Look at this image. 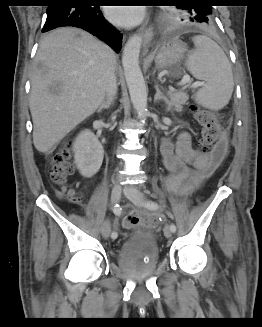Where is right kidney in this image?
<instances>
[{"label":"right kidney","mask_w":262,"mask_h":327,"mask_svg":"<svg viewBox=\"0 0 262 327\" xmlns=\"http://www.w3.org/2000/svg\"><path fill=\"white\" fill-rule=\"evenodd\" d=\"M75 163L84 177L95 175L103 162L104 150L98 138L90 131H82L74 143Z\"/></svg>","instance_id":"ca27d5eb"}]
</instances>
